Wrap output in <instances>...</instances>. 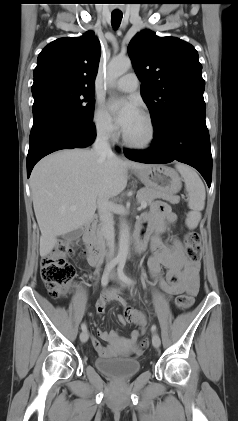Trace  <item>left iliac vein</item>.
<instances>
[{"mask_svg":"<svg viewBox=\"0 0 238 421\" xmlns=\"http://www.w3.org/2000/svg\"><path fill=\"white\" fill-rule=\"evenodd\" d=\"M111 278L114 279L115 275L112 273ZM152 344L155 348H159L161 344V340L158 334L154 333L152 336Z\"/></svg>","mask_w":238,"mask_h":421,"instance_id":"1","label":"left iliac vein"}]
</instances>
